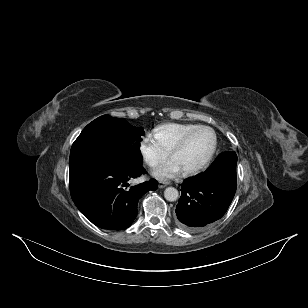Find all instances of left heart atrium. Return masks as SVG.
Returning a JSON list of instances; mask_svg holds the SVG:
<instances>
[{
  "instance_id": "obj_1",
  "label": "left heart atrium",
  "mask_w": 308,
  "mask_h": 308,
  "mask_svg": "<svg viewBox=\"0 0 308 308\" xmlns=\"http://www.w3.org/2000/svg\"><path fill=\"white\" fill-rule=\"evenodd\" d=\"M182 171L180 164L174 158H171L157 167L153 171V175L159 179H169L179 175Z\"/></svg>"
}]
</instances>
